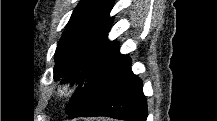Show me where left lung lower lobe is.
Wrapping results in <instances>:
<instances>
[{"label":"left lung lower lobe","instance_id":"0a47b994","mask_svg":"<svg viewBox=\"0 0 217 121\" xmlns=\"http://www.w3.org/2000/svg\"><path fill=\"white\" fill-rule=\"evenodd\" d=\"M88 116L146 121L142 81L131 71L129 56L120 54L119 48L87 86L70 118Z\"/></svg>","mask_w":217,"mask_h":121}]
</instances>
